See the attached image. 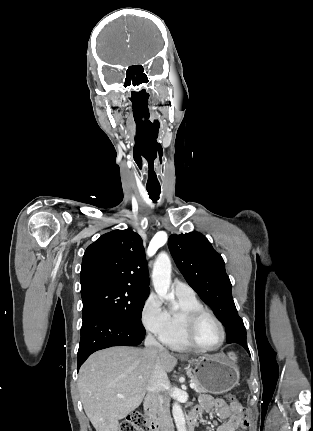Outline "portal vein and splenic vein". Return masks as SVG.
Listing matches in <instances>:
<instances>
[{
    "mask_svg": "<svg viewBox=\"0 0 313 431\" xmlns=\"http://www.w3.org/2000/svg\"><path fill=\"white\" fill-rule=\"evenodd\" d=\"M196 387V385L193 383V382H191L190 383V388H192V389H194ZM120 398H123L122 396H119Z\"/></svg>",
    "mask_w": 313,
    "mask_h": 431,
    "instance_id": "18ae733b",
    "label": "portal vein and splenic vein"
}]
</instances>
